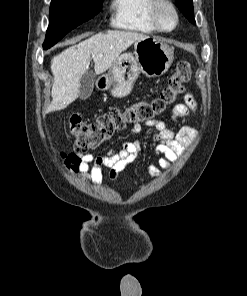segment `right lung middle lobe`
Instances as JSON below:
<instances>
[{
	"label": "right lung middle lobe",
	"mask_w": 247,
	"mask_h": 296,
	"mask_svg": "<svg viewBox=\"0 0 247 296\" xmlns=\"http://www.w3.org/2000/svg\"><path fill=\"white\" fill-rule=\"evenodd\" d=\"M104 0H51L50 22L43 48L55 45L69 31L99 13Z\"/></svg>",
	"instance_id": "right-lung-middle-lobe-1"
}]
</instances>
